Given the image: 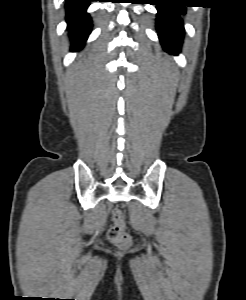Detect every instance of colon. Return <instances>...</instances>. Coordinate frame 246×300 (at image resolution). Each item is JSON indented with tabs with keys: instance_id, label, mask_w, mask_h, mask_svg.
<instances>
[{
	"instance_id": "colon-1",
	"label": "colon",
	"mask_w": 246,
	"mask_h": 300,
	"mask_svg": "<svg viewBox=\"0 0 246 300\" xmlns=\"http://www.w3.org/2000/svg\"><path fill=\"white\" fill-rule=\"evenodd\" d=\"M113 225L107 231L108 239L117 245L126 246L130 243V237L125 229L124 215L120 208L113 211Z\"/></svg>"
}]
</instances>
